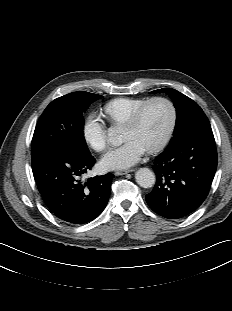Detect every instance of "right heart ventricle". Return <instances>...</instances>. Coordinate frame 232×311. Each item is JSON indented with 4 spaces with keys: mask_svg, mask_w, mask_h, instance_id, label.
I'll return each mask as SVG.
<instances>
[{
    "mask_svg": "<svg viewBox=\"0 0 232 311\" xmlns=\"http://www.w3.org/2000/svg\"><path fill=\"white\" fill-rule=\"evenodd\" d=\"M150 98L118 97L104 106V112L112 127H123L133 113Z\"/></svg>",
    "mask_w": 232,
    "mask_h": 311,
    "instance_id": "right-heart-ventricle-1",
    "label": "right heart ventricle"
}]
</instances>
